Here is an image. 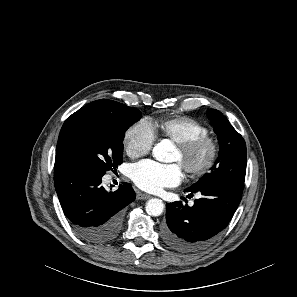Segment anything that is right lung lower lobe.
<instances>
[{
    "label": "right lung lower lobe",
    "mask_w": 297,
    "mask_h": 297,
    "mask_svg": "<svg viewBox=\"0 0 297 297\" xmlns=\"http://www.w3.org/2000/svg\"><path fill=\"white\" fill-rule=\"evenodd\" d=\"M101 182L102 175L84 168H54L55 189L64 214L81 237L94 243H107L119 235L123 208L135 199L129 183L108 192Z\"/></svg>",
    "instance_id": "right-lung-lower-lobe-1"
}]
</instances>
